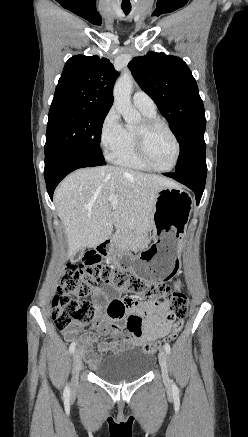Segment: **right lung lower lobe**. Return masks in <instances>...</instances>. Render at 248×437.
<instances>
[{"mask_svg": "<svg viewBox=\"0 0 248 437\" xmlns=\"http://www.w3.org/2000/svg\"><path fill=\"white\" fill-rule=\"evenodd\" d=\"M104 159L88 152L72 148H59L45 154L44 176L48 194L53 199V192L58 183L70 172L83 167L105 165Z\"/></svg>", "mask_w": 248, "mask_h": 437, "instance_id": "right-lung-lower-lobe-1", "label": "right lung lower lobe"}]
</instances>
